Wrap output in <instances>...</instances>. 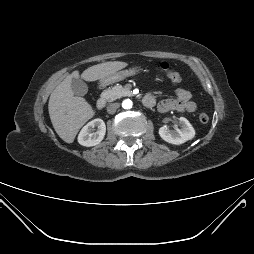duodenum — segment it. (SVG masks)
I'll list each match as a JSON object with an SVG mask.
<instances>
[{
	"label": "duodenum",
	"instance_id": "duodenum-1",
	"mask_svg": "<svg viewBox=\"0 0 254 254\" xmlns=\"http://www.w3.org/2000/svg\"><path fill=\"white\" fill-rule=\"evenodd\" d=\"M142 102L146 107H152L154 105V100L149 96L144 97ZM96 106L98 109H103L106 106V99L100 97L96 102Z\"/></svg>",
	"mask_w": 254,
	"mask_h": 254
}]
</instances>
